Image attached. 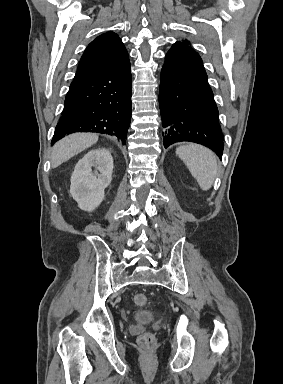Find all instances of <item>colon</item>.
<instances>
[{
	"label": "colon",
	"instance_id": "obj_1",
	"mask_svg": "<svg viewBox=\"0 0 283 384\" xmlns=\"http://www.w3.org/2000/svg\"><path fill=\"white\" fill-rule=\"evenodd\" d=\"M134 303L137 307H148L150 305L147 296L143 293H137L134 296ZM154 342V337L151 333H144L139 337V343L142 346H151Z\"/></svg>",
	"mask_w": 283,
	"mask_h": 384
}]
</instances>
